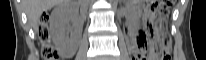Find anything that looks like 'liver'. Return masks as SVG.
Masks as SVG:
<instances>
[{
	"instance_id": "6515ba94",
	"label": "liver",
	"mask_w": 206,
	"mask_h": 60,
	"mask_svg": "<svg viewBox=\"0 0 206 60\" xmlns=\"http://www.w3.org/2000/svg\"><path fill=\"white\" fill-rule=\"evenodd\" d=\"M62 2L63 0H24L23 4L29 24L34 30H37L38 21L42 13Z\"/></svg>"
}]
</instances>
